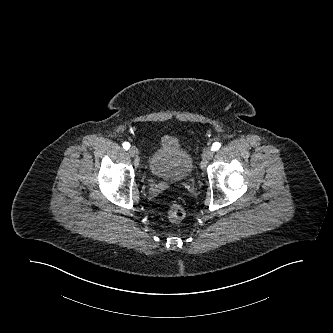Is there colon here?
I'll return each instance as SVG.
<instances>
[{
  "instance_id": "obj_1",
  "label": "colon",
  "mask_w": 333,
  "mask_h": 333,
  "mask_svg": "<svg viewBox=\"0 0 333 333\" xmlns=\"http://www.w3.org/2000/svg\"><path fill=\"white\" fill-rule=\"evenodd\" d=\"M184 209L179 204H172L167 209V217L171 222H178L184 218Z\"/></svg>"
}]
</instances>
